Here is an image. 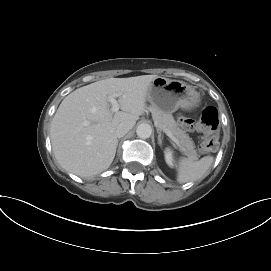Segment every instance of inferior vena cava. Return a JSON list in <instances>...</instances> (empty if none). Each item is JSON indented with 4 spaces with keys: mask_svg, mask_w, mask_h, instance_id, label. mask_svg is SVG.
<instances>
[{
    "mask_svg": "<svg viewBox=\"0 0 271 271\" xmlns=\"http://www.w3.org/2000/svg\"><path fill=\"white\" fill-rule=\"evenodd\" d=\"M133 127V124L130 122H122L116 128V136L118 138L123 137L126 133H128Z\"/></svg>",
    "mask_w": 271,
    "mask_h": 271,
    "instance_id": "inferior-vena-cava-1",
    "label": "inferior vena cava"
}]
</instances>
